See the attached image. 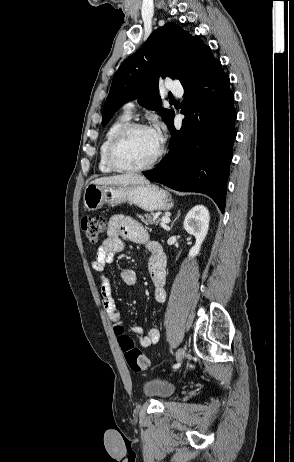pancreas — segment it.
Here are the masks:
<instances>
[{
  "label": "pancreas",
  "instance_id": "cf45deb5",
  "mask_svg": "<svg viewBox=\"0 0 294 462\" xmlns=\"http://www.w3.org/2000/svg\"><path fill=\"white\" fill-rule=\"evenodd\" d=\"M137 217L140 219L141 222L145 223L146 225H157L159 220L154 218L152 214H138Z\"/></svg>",
  "mask_w": 294,
  "mask_h": 462
}]
</instances>
